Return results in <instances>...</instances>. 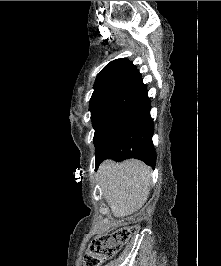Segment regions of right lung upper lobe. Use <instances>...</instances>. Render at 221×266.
<instances>
[{
	"label": "right lung upper lobe",
	"mask_w": 221,
	"mask_h": 266,
	"mask_svg": "<svg viewBox=\"0 0 221 266\" xmlns=\"http://www.w3.org/2000/svg\"><path fill=\"white\" fill-rule=\"evenodd\" d=\"M120 86L145 87L139 71L126 58L116 59L108 63L98 74L93 88L96 92Z\"/></svg>",
	"instance_id": "obj_1"
}]
</instances>
